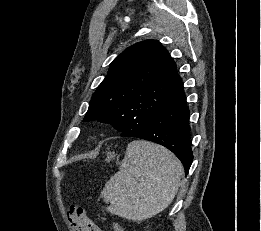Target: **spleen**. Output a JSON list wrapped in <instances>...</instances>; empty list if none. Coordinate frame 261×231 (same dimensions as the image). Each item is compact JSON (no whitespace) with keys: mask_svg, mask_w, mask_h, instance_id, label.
<instances>
[{"mask_svg":"<svg viewBox=\"0 0 261 231\" xmlns=\"http://www.w3.org/2000/svg\"><path fill=\"white\" fill-rule=\"evenodd\" d=\"M182 174L180 161L162 146L134 140L101 191L111 214L133 221L150 218L174 199Z\"/></svg>","mask_w":261,"mask_h":231,"instance_id":"3e777b00","label":"spleen"}]
</instances>
